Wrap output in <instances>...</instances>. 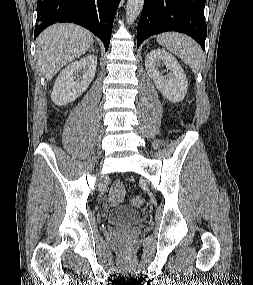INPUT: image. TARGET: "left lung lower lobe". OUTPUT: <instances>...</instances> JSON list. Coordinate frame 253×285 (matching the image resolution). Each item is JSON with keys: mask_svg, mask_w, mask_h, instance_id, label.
I'll return each instance as SVG.
<instances>
[{"mask_svg": "<svg viewBox=\"0 0 253 285\" xmlns=\"http://www.w3.org/2000/svg\"><path fill=\"white\" fill-rule=\"evenodd\" d=\"M205 0H145L137 28V46L165 31L185 33L205 49Z\"/></svg>", "mask_w": 253, "mask_h": 285, "instance_id": "left-lung-lower-lobe-1", "label": "left lung lower lobe"}]
</instances>
